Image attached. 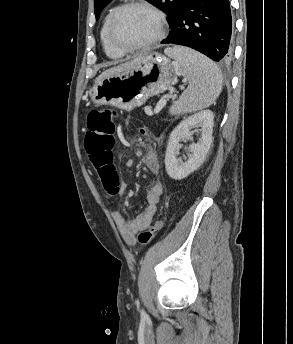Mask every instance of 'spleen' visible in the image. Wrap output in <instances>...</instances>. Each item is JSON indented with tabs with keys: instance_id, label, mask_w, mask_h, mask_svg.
<instances>
[{
	"instance_id": "1",
	"label": "spleen",
	"mask_w": 293,
	"mask_h": 344,
	"mask_svg": "<svg viewBox=\"0 0 293 344\" xmlns=\"http://www.w3.org/2000/svg\"><path fill=\"white\" fill-rule=\"evenodd\" d=\"M172 57L183 76L188 79V88L170 108V113L179 115L209 107L219 97L223 77L216 64L206 56L186 47L165 49Z\"/></svg>"
}]
</instances>
